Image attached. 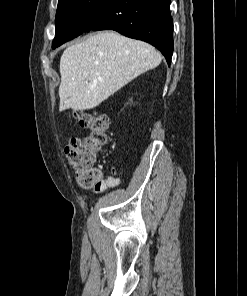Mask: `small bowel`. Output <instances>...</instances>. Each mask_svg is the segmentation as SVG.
Wrapping results in <instances>:
<instances>
[{
    "instance_id": "small-bowel-1",
    "label": "small bowel",
    "mask_w": 247,
    "mask_h": 296,
    "mask_svg": "<svg viewBox=\"0 0 247 296\" xmlns=\"http://www.w3.org/2000/svg\"><path fill=\"white\" fill-rule=\"evenodd\" d=\"M120 184V181L118 178L115 177H109L106 179V181L102 184L101 189L105 188H114L117 187Z\"/></svg>"
}]
</instances>
